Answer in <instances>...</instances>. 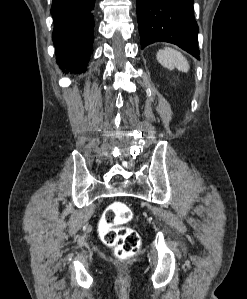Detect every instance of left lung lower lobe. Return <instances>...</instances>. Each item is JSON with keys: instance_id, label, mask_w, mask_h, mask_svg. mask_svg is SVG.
Wrapping results in <instances>:
<instances>
[{"instance_id": "obj_1", "label": "left lung lower lobe", "mask_w": 247, "mask_h": 299, "mask_svg": "<svg viewBox=\"0 0 247 299\" xmlns=\"http://www.w3.org/2000/svg\"><path fill=\"white\" fill-rule=\"evenodd\" d=\"M136 7L142 49L163 41L200 58L193 0H136Z\"/></svg>"}]
</instances>
